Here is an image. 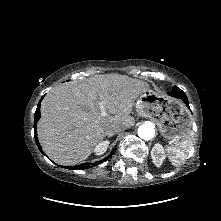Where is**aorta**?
<instances>
[{
    "label": "aorta",
    "instance_id": "aorta-1",
    "mask_svg": "<svg viewBox=\"0 0 221 221\" xmlns=\"http://www.w3.org/2000/svg\"><path fill=\"white\" fill-rule=\"evenodd\" d=\"M138 135L144 140H150L155 135L154 125L150 122H147L138 128Z\"/></svg>",
    "mask_w": 221,
    "mask_h": 221
}]
</instances>
